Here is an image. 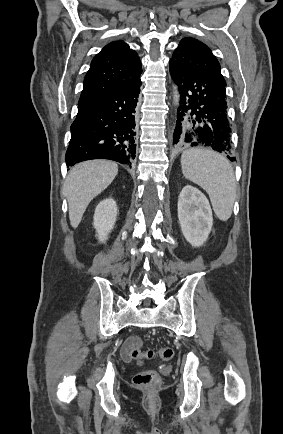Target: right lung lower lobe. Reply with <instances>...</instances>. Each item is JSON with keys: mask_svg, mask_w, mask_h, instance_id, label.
<instances>
[{"mask_svg": "<svg viewBox=\"0 0 283 434\" xmlns=\"http://www.w3.org/2000/svg\"><path fill=\"white\" fill-rule=\"evenodd\" d=\"M140 80L126 89L78 104L71 125L66 164L109 159L130 164L135 158V107Z\"/></svg>", "mask_w": 283, "mask_h": 434, "instance_id": "obj_1", "label": "right lung lower lobe"}]
</instances>
